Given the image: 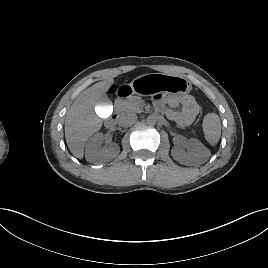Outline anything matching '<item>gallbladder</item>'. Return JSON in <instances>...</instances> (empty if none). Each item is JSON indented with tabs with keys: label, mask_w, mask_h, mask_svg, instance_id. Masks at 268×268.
<instances>
[{
	"label": "gallbladder",
	"mask_w": 268,
	"mask_h": 268,
	"mask_svg": "<svg viewBox=\"0 0 268 268\" xmlns=\"http://www.w3.org/2000/svg\"><path fill=\"white\" fill-rule=\"evenodd\" d=\"M95 110L100 117H108L112 113L113 106L105 95L97 99Z\"/></svg>",
	"instance_id": "gallbladder-1"
}]
</instances>
